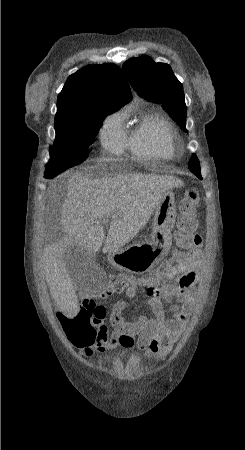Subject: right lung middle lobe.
Listing matches in <instances>:
<instances>
[{
    "label": "right lung middle lobe",
    "mask_w": 245,
    "mask_h": 450,
    "mask_svg": "<svg viewBox=\"0 0 245 450\" xmlns=\"http://www.w3.org/2000/svg\"><path fill=\"white\" fill-rule=\"evenodd\" d=\"M119 107L111 103L93 104L83 112L55 118L56 139L44 177L51 179L86 160L88 146L98 133L103 117Z\"/></svg>",
    "instance_id": "right-lung-middle-lobe-1"
}]
</instances>
